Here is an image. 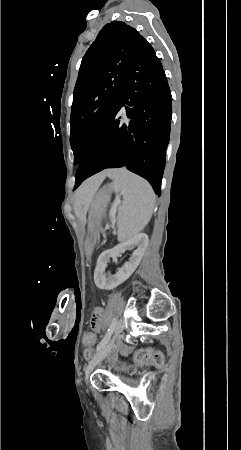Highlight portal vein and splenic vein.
Instances as JSON below:
<instances>
[{
    "instance_id": "obj_1",
    "label": "portal vein and splenic vein",
    "mask_w": 241,
    "mask_h": 450,
    "mask_svg": "<svg viewBox=\"0 0 241 450\" xmlns=\"http://www.w3.org/2000/svg\"><path fill=\"white\" fill-rule=\"evenodd\" d=\"M111 207V206H110ZM112 208L113 209H120V204H113L112 205ZM112 211H115V210H112Z\"/></svg>"
}]
</instances>
